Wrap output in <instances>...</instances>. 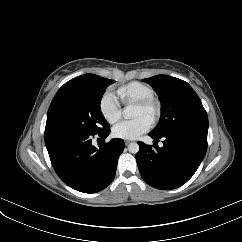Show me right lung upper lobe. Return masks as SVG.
<instances>
[{
    "instance_id": "1",
    "label": "right lung upper lobe",
    "mask_w": 242,
    "mask_h": 242,
    "mask_svg": "<svg viewBox=\"0 0 242 242\" xmlns=\"http://www.w3.org/2000/svg\"><path fill=\"white\" fill-rule=\"evenodd\" d=\"M97 75L94 74H85L82 76H78L70 80V82H89L96 78Z\"/></svg>"
}]
</instances>
